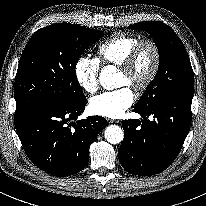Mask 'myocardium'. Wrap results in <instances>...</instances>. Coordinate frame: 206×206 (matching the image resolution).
I'll return each instance as SVG.
<instances>
[{"instance_id":"1","label":"myocardium","mask_w":206,"mask_h":206,"mask_svg":"<svg viewBox=\"0 0 206 206\" xmlns=\"http://www.w3.org/2000/svg\"><path fill=\"white\" fill-rule=\"evenodd\" d=\"M145 46H148L152 50L153 61H152L150 72L143 81H141L140 83H130V86L136 92H142L146 90L153 83L154 79L157 76V73L160 67V62H161V52H160V48L158 44L150 38L140 39L132 47L124 63L120 66L121 73L127 76H131L134 70V67L136 65V62L138 60L139 54L141 50L143 49V47Z\"/></svg>"}]
</instances>
